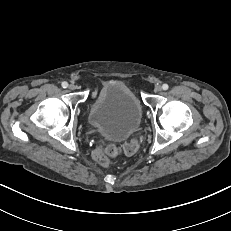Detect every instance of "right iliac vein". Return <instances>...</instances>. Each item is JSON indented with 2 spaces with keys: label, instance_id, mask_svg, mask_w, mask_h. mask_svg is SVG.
I'll return each mask as SVG.
<instances>
[{
  "label": "right iliac vein",
  "instance_id": "1",
  "mask_svg": "<svg viewBox=\"0 0 231 231\" xmlns=\"http://www.w3.org/2000/svg\"><path fill=\"white\" fill-rule=\"evenodd\" d=\"M68 88H69L70 90H75V89H76V86H75L74 84H70V85L68 86Z\"/></svg>",
  "mask_w": 231,
  "mask_h": 231
}]
</instances>
